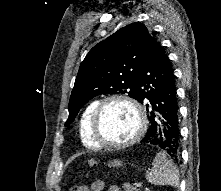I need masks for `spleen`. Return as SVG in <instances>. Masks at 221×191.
<instances>
[{"label": "spleen", "mask_w": 221, "mask_h": 191, "mask_svg": "<svg viewBox=\"0 0 221 191\" xmlns=\"http://www.w3.org/2000/svg\"><path fill=\"white\" fill-rule=\"evenodd\" d=\"M147 180L153 185H170L178 187L179 174L177 168L167 159L165 152H159L152 162V169Z\"/></svg>", "instance_id": "3e777b00"}]
</instances>
